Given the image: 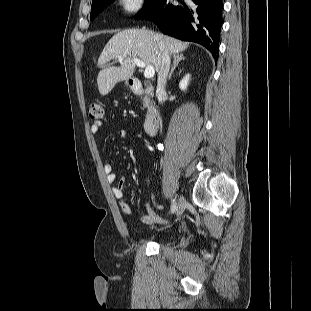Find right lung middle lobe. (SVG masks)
I'll list each match as a JSON object with an SVG mask.
<instances>
[{
  "instance_id": "dd1d6c3e",
  "label": "right lung middle lobe",
  "mask_w": 311,
  "mask_h": 311,
  "mask_svg": "<svg viewBox=\"0 0 311 311\" xmlns=\"http://www.w3.org/2000/svg\"><path fill=\"white\" fill-rule=\"evenodd\" d=\"M114 0H95L92 2L90 20H93L105 7L111 4ZM160 0H146L142 10L139 11L137 18L146 15Z\"/></svg>"
}]
</instances>
